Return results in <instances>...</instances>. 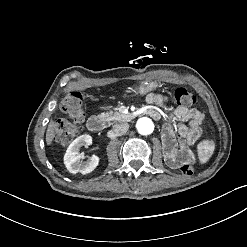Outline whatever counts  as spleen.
Returning a JSON list of instances; mask_svg holds the SVG:
<instances>
[{
	"label": "spleen",
	"instance_id": "3e777b00",
	"mask_svg": "<svg viewBox=\"0 0 247 247\" xmlns=\"http://www.w3.org/2000/svg\"><path fill=\"white\" fill-rule=\"evenodd\" d=\"M211 145H208V147H210ZM199 159L201 163H206L207 160L209 159V150L208 149H204L202 151H200L199 153Z\"/></svg>",
	"mask_w": 247,
	"mask_h": 247
}]
</instances>
